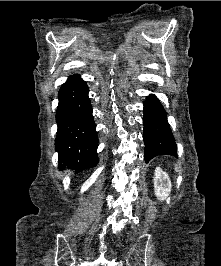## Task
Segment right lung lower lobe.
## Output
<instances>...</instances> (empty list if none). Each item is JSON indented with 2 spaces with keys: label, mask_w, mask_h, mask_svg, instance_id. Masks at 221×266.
Here are the masks:
<instances>
[{
  "label": "right lung lower lobe",
  "mask_w": 221,
  "mask_h": 266,
  "mask_svg": "<svg viewBox=\"0 0 221 266\" xmlns=\"http://www.w3.org/2000/svg\"><path fill=\"white\" fill-rule=\"evenodd\" d=\"M88 92L86 82L75 74L67 79L58 93L55 146L59 152V165L74 168L76 172L98 163V137Z\"/></svg>",
  "instance_id": "1"
}]
</instances>
